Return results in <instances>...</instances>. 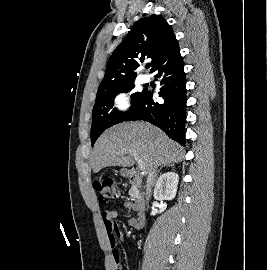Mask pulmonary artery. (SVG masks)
I'll use <instances>...</instances> for the list:
<instances>
[{
    "label": "pulmonary artery",
    "mask_w": 267,
    "mask_h": 270,
    "mask_svg": "<svg viewBox=\"0 0 267 270\" xmlns=\"http://www.w3.org/2000/svg\"><path fill=\"white\" fill-rule=\"evenodd\" d=\"M141 81H142L143 83H147V82L150 81V77H149L148 75H142V76H141Z\"/></svg>",
    "instance_id": "e3ab8cb5"
}]
</instances>
